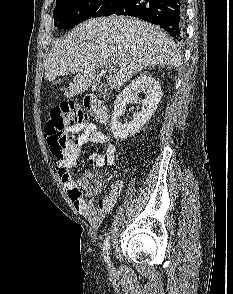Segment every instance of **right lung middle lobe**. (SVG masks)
<instances>
[{
    "label": "right lung middle lobe",
    "instance_id": "obj_1",
    "mask_svg": "<svg viewBox=\"0 0 233 294\" xmlns=\"http://www.w3.org/2000/svg\"><path fill=\"white\" fill-rule=\"evenodd\" d=\"M123 0H56L54 26L71 29L94 17L109 16Z\"/></svg>",
    "mask_w": 233,
    "mask_h": 294
}]
</instances>
